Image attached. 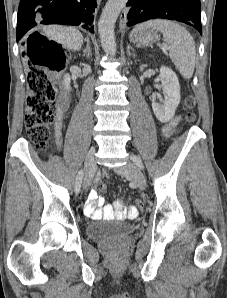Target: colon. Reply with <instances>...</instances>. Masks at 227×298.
Instances as JSON below:
<instances>
[{"instance_id":"5ec220e1","label":"colon","mask_w":227,"mask_h":298,"mask_svg":"<svg viewBox=\"0 0 227 298\" xmlns=\"http://www.w3.org/2000/svg\"><path fill=\"white\" fill-rule=\"evenodd\" d=\"M51 41L45 36L38 35L33 41L32 48L28 50V72L27 85L28 97L26 100L25 125L27 133L34 143L37 150H45L51 139V125L55 121L57 92L47 74V69L55 67V60L49 55ZM188 109L187 120H195L193 108L195 99L188 96L185 100ZM105 184L97 182L96 191H103ZM138 207L143 203L138 202ZM145 212L144 208L140 209ZM135 215V213H131Z\"/></svg>"}]
</instances>
